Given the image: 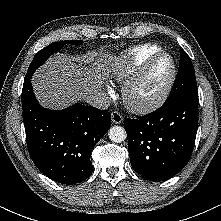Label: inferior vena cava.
<instances>
[{
	"label": "inferior vena cava",
	"mask_w": 221,
	"mask_h": 221,
	"mask_svg": "<svg viewBox=\"0 0 221 221\" xmlns=\"http://www.w3.org/2000/svg\"><path fill=\"white\" fill-rule=\"evenodd\" d=\"M85 102H87L90 106L99 109H107L110 105V99L104 92H95L88 95Z\"/></svg>",
	"instance_id": "obj_1"
}]
</instances>
